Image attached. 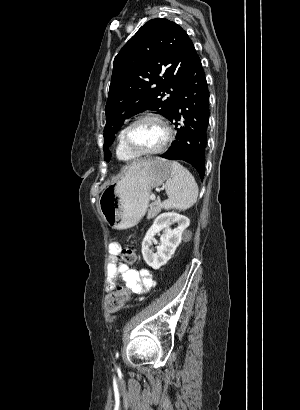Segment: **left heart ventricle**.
<instances>
[{
    "label": "left heart ventricle",
    "instance_id": "b2bd125f",
    "mask_svg": "<svg viewBox=\"0 0 300 410\" xmlns=\"http://www.w3.org/2000/svg\"><path fill=\"white\" fill-rule=\"evenodd\" d=\"M166 136L163 126L156 120L147 119L137 123L129 133V140L140 150H154Z\"/></svg>",
    "mask_w": 300,
    "mask_h": 410
}]
</instances>
